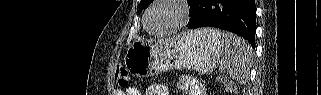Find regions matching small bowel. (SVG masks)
I'll return each instance as SVG.
<instances>
[{"instance_id": "c3829d8e", "label": "small bowel", "mask_w": 321, "mask_h": 95, "mask_svg": "<svg viewBox=\"0 0 321 95\" xmlns=\"http://www.w3.org/2000/svg\"><path fill=\"white\" fill-rule=\"evenodd\" d=\"M127 95H168V91L165 88V86L161 84H152L149 86V88L144 92L141 93L140 91L136 89H128L126 92ZM195 95H204V89L203 87L199 86L197 90L195 91Z\"/></svg>"}]
</instances>
